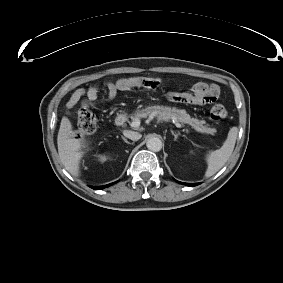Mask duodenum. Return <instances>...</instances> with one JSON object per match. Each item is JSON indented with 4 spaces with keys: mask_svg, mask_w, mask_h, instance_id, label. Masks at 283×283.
I'll use <instances>...</instances> for the list:
<instances>
[{
    "mask_svg": "<svg viewBox=\"0 0 283 283\" xmlns=\"http://www.w3.org/2000/svg\"><path fill=\"white\" fill-rule=\"evenodd\" d=\"M125 122V117L123 115H118L115 118V124L116 125H122Z\"/></svg>",
    "mask_w": 283,
    "mask_h": 283,
    "instance_id": "duodenum-1",
    "label": "duodenum"
}]
</instances>
